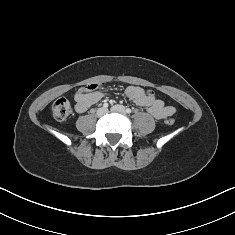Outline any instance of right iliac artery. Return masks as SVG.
Wrapping results in <instances>:
<instances>
[{"label":"right iliac artery","instance_id":"1","mask_svg":"<svg viewBox=\"0 0 235 235\" xmlns=\"http://www.w3.org/2000/svg\"><path fill=\"white\" fill-rule=\"evenodd\" d=\"M108 106H109L108 103H104V104H103V108H105V109H107Z\"/></svg>","mask_w":235,"mask_h":235}]
</instances>
